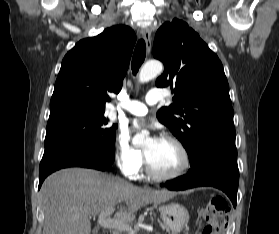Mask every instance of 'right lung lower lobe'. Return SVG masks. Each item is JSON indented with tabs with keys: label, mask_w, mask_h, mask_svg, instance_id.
Segmentation results:
<instances>
[{
	"label": "right lung lower lobe",
	"mask_w": 279,
	"mask_h": 234,
	"mask_svg": "<svg viewBox=\"0 0 279 234\" xmlns=\"http://www.w3.org/2000/svg\"><path fill=\"white\" fill-rule=\"evenodd\" d=\"M113 162L80 143L68 142L45 150L40 163L39 188L52 172L66 167H86L105 171Z\"/></svg>",
	"instance_id": "obj_1"
}]
</instances>
